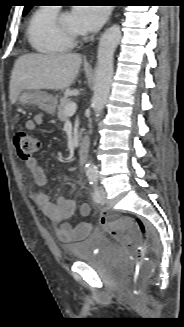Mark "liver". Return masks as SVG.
<instances>
[{
  "mask_svg": "<svg viewBox=\"0 0 184 327\" xmlns=\"http://www.w3.org/2000/svg\"><path fill=\"white\" fill-rule=\"evenodd\" d=\"M82 58L79 54H25L13 67L9 99L14 104L23 90H64L74 83Z\"/></svg>",
  "mask_w": 184,
  "mask_h": 327,
  "instance_id": "1",
  "label": "liver"
}]
</instances>
